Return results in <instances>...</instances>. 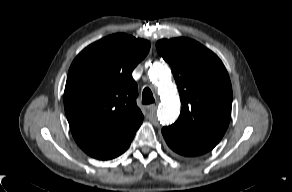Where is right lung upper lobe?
Wrapping results in <instances>:
<instances>
[{"instance_id":"right-lung-upper-lobe-1","label":"right lung upper lobe","mask_w":292,"mask_h":192,"mask_svg":"<svg viewBox=\"0 0 292 192\" xmlns=\"http://www.w3.org/2000/svg\"><path fill=\"white\" fill-rule=\"evenodd\" d=\"M149 49L147 40L117 33L89 45L74 59L64 107L77 143L113 140L140 127L143 115L132 71Z\"/></svg>"}]
</instances>
